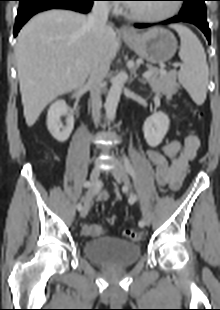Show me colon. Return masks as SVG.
<instances>
[{"label": "colon", "mask_w": 220, "mask_h": 310, "mask_svg": "<svg viewBox=\"0 0 220 310\" xmlns=\"http://www.w3.org/2000/svg\"><path fill=\"white\" fill-rule=\"evenodd\" d=\"M116 222V216L111 215L108 217V223L114 224ZM123 235L133 241H139L143 238V233L134 229H126L123 231Z\"/></svg>", "instance_id": "5ec220e1"}]
</instances>
